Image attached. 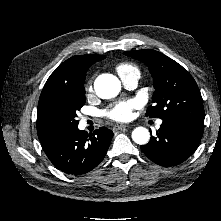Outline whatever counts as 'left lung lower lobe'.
Segmentation results:
<instances>
[{"instance_id":"1","label":"left lung lower lobe","mask_w":221,"mask_h":221,"mask_svg":"<svg viewBox=\"0 0 221 221\" xmlns=\"http://www.w3.org/2000/svg\"><path fill=\"white\" fill-rule=\"evenodd\" d=\"M204 120L194 118L165 119L142 152L161 166H176L197 149L203 135Z\"/></svg>"}]
</instances>
